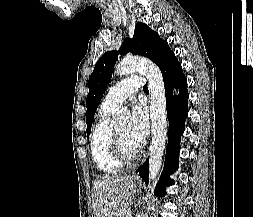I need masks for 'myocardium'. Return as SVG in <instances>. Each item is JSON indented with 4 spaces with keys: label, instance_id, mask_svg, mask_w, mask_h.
Returning a JSON list of instances; mask_svg holds the SVG:
<instances>
[{
    "label": "myocardium",
    "instance_id": "obj_1",
    "mask_svg": "<svg viewBox=\"0 0 253 217\" xmlns=\"http://www.w3.org/2000/svg\"><path fill=\"white\" fill-rule=\"evenodd\" d=\"M110 149L113 156L118 159L122 163H132L134 162L141 152V146L137 148L134 152H128L123 143L117 134L115 128L111 129V137H110Z\"/></svg>",
    "mask_w": 253,
    "mask_h": 217
}]
</instances>
